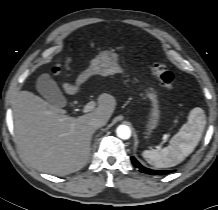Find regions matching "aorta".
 Segmentation results:
<instances>
[{
  "instance_id": "762f6f07",
  "label": "aorta",
  "mask_w": 218,
  "mask_h": 210,
  "mask_svg": "<svg viewBox=\"0 0 218 210\" xmlns=\"http://www.w3.org/2000/svg\"><path fill=\"white\" fill-rule=\"evenodd\" d=\"M117 136L121 139H129L131 137V130L127 125H120L116 129Z\"/></svg>"
}]
</instances>
